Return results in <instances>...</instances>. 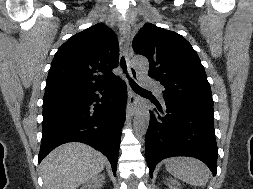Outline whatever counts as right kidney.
<instances>
[{
	"label": "right kidney",
	"mask_w": 253,
	"mask_h": 189,
	"mask_svg": "<svg viewBox=\"0 0 253 189\" xmlns=\"http://www.w3.org/2000/svg\"><path fill=\"white\" fill-rule=\"evenodd\" d=\"M104 175H99L87 182L81 189H101L104 183Z\"/></svg>",
	"instance_id": "right-kidney-1"
}]
</instances>
